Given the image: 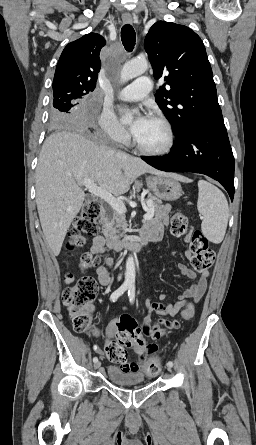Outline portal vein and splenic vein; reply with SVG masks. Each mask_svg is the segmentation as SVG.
<instances>
[{"label":"portal vein and splenic vein","mask_w":256,"mask_h":445,"mask_svg":"<svg viewBox=\"0 0 256 445\" xmlns=\"http://www.w3.org/2000/svg\"><path fill=\"white\" fill-rule=\"evenodd\" d=\"M83 185L86 189L93 195L101 198L107 202L115 211L121 214L126 213V207L122 201L115 198L111 193L97 186V184L91 179L83 180ZM148 208L146 214L144 215L145 220H151L154 217V208L151 206V201H148Z\"/></svg>","instance_id":"18ae733b"}]
</instances>
